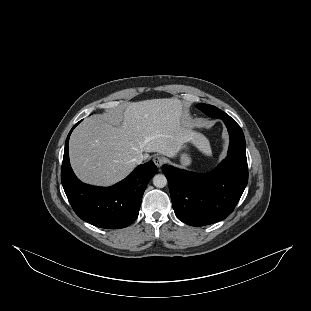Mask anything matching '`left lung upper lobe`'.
Instances as JSON below:
<instances>
[{"mask_svg": "<svg viewBox=\"0 0 311 311\" xmlns=\"http://www.w3.org/2000/svg\"><path fill=\"white\" fill-rule=\"evenodd\" d=\"M196 107L202 112H204L206 115H209L215 118H221V116L224 114L223 111H221L220 109L212 105L198 104L196 105Z\"/></svg>", "mask_w": 311, "mask_h": 311, "instance_id": "5c2ea615", "label": "left lung upper lobe"}]
</instances>
